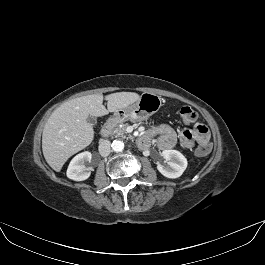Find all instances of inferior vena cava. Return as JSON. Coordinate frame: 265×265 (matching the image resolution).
Instances as JSON below:
<instances>
[{"instance_id": "obj_1", "label": "inferior vena cava", "mask_w": 265, "mask_h": 265, "mask_svg": "<svg viewBox=\"0 0 265 265\" xmlns=\"http://www.w3.org/2000/svg\"><path fill=\"white\" fill-rule=\"evenodd\" d=\"M110 141L109 140H102L100 143H99V147H98V150H99V153L101 156L103 157H106L110 154Z\"/></svg>"}]
</instances>
